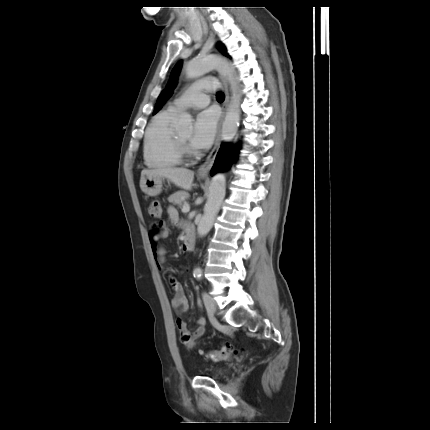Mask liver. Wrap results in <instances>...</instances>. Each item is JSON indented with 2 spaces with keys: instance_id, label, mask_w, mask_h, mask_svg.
<instances>
[{
  "instance_id": "obj_1",
  "label": "liver",
  "mask_w": 430,
  "mask_h": 430,
  "mask_svg": "<svg viewBox=\"0 0 430 430\" xmlns=\"http://www.w3.org/2000/svg\"><path fill=\"white\" fill-rule=\"evenodd\" d=\"M145 175H156L168 179L175 186L184 190H190L194 179V172L186 168L161 167L156 169H145L141 177Z\"/></svg>"
}]
</instances>
